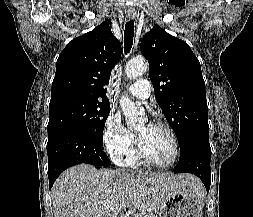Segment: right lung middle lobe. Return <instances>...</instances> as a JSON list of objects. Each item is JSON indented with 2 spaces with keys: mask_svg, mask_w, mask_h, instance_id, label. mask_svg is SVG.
Here are the masks:
<instances>
[{
  "mask_svg": "<svg viewBox=\"0 0 253 217\" xmlns=\"http://www.w3.org/2000/svg\"><path fill=\"white\" fill-rule=\"evenodd\" d=\"M110 104L99 100L63 99L49 104L48 135L60 130L83 131L102 140Z\"/></svg>",
  "mask_w": 253,
  "mask_h": 217,
  "instance_id": "right-lung-middle-lobe-1",
  "label": "right lung middle lobe"
}]
</instances>
